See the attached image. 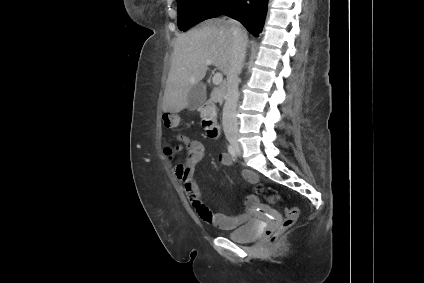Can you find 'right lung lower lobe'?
<instances>
[{"instance_id":"1","label":"right lung lower lobe","mask_w":424,"mask_h":283,"mask_svg":"<svg viewBox=\"0 0 424 283\" xmlns=\"http://www.w3.org/2000/svg\"><path fill=\"white\" fill-rule=\"evenodd\" d=\"M267 9V0H235L223 15L240 21L246 29L258 37L261 32Z\"/></svg>"}]
</instances>
